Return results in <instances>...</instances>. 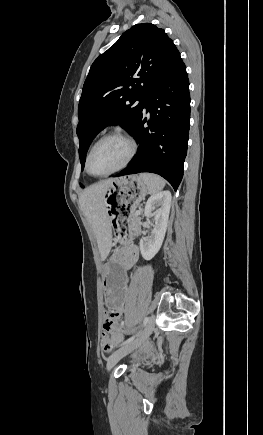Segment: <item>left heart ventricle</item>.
<instances>
[{
	"label": "left heart ventricle",
	"instance_id": "left-heart-ventricle-1",
	"mask_svg": "<svg viewBox=\"0 0 263 435\" xmlns=\"http://www.w3.org/2000/svg\"><path fill=\"white\" fill-rule=\"evenodd\" d=\"M128 145L119 138L100 142L90 158V168L96 174H103L118 168L126 160Z\"/></svg>",
	"mask_w": 263,
	"mask_h": 435
}]
</instances>
